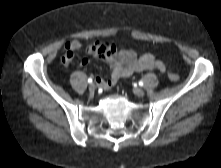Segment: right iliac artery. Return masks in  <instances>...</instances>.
Returning <instances> with one entry per match:
<instances>
[{"mask_svg":"<svg viewBox=\"0 0 221 168\" xmlns=\"http://www.w3.org/2000/svg\"><path fill=\"white\" fill-rule=\"evenodd\" d=\"M92 82H93L92 78H89V79H88V83L91 84Z\"/></svg>","mask_w":221,"mask_h":168,"instance_id":"82829eb1","label":"right iliac artery"}]
</instances>
